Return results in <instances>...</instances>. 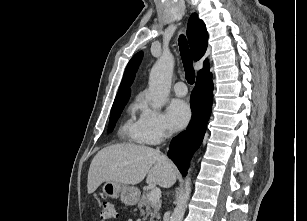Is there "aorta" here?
<instances>
[{
  "label": "aorta",
  "mask_w": 307,
  "mask_h": 221,
  "mask_svg": "<svg viewBox=\"0 0 307 221\" xmlns=\"http://www.w3.org/2000/svg\"><path fill=\"white\" fill-rule=\"evenodd\" d=\"M174 63L173 55L169 52H163L150 71L149 92L153 108L159 109L167 101L171 88ZM189 172L185 179V187L180 193L176 207L170 217V221L183 220L191 192V179L189 177Z\"/></svg>",
  "instance_id": "aorta-1"
}]
</instances>
